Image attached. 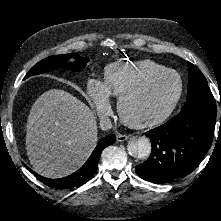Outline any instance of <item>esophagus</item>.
<instances>
[{"label":"esophagus","mask_w":221,"mask_h":221,"mask_svg":"<svg viewBox=\"0 0 221 221\" xmlns=\"http://www.w3.org/2000/svg\"><path fill=\"white\" fill-rule=\"evenodd\" d=\"M129 139V136L128 135H122V134H118L117 135V141L118 142H124V141H126V140H128Z\"/></svg>","instance_id":"34e87169"}]
</instances>
